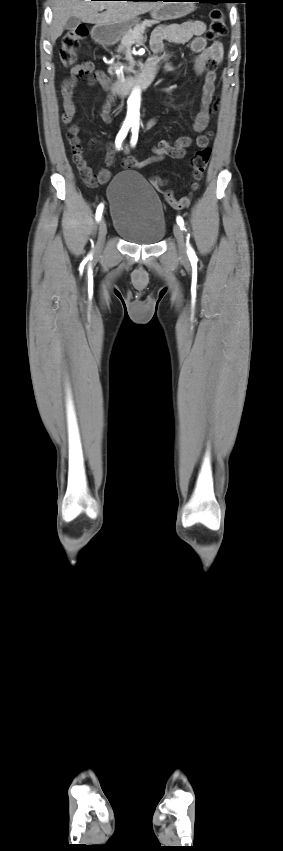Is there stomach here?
<instances>
[{"mask_svg":"<svg viewBox=\"0 0 283 851\" xmlns=\"http://www.w3.org/2000/svg\"><path fill=\"white\" fill-rule=\"evenodd\" d=\"M194 9L195 6L192 2H164L161 6L152 10L151 16L156 21L172 20L184 17L191 13ZM138 22V18H133L121 23L96 25L92 29V35L93 38L99 42H103L108 45L114 44L127 32L132 30Z\"/></svg>","mask_w":283,"mask_h":851,"instance_id":"1","label":"stomach"}]
</instances>
